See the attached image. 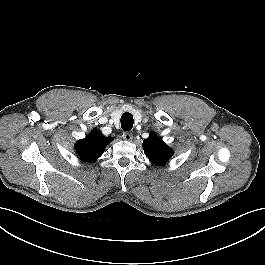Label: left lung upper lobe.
<instances>
[{
  "mask_svg": "<svg viewBox=\"0 0 265 265\" xmlns=\"http://www.w3.org/2000/svg\"><path fill=\"white\" fill-rule=\"evenodd\" d=\"M143 147L150 162L156 165L165 164L173 155V150L154 133L143 141Z\"/></svg>",
  "mask_w": 265,
  "mask_h": 265,
  "instance_id": "obj_1",
  "label": "left lung upper lobe"
}]
</instances>
